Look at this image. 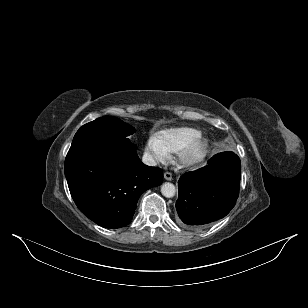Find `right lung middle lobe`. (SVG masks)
<instances>
[{
    "mask_svg": "<svg viewBox=\"0 0 308 308\" xmlns=\"http://www.w3.org/2000/svg\"><path fill=\"white\" fill-rule=\"evenodd\" d=\"M135 129L116 117L104 116L83 125L75 134L71 147L84 143H117L130 145L129 135Z\"/></svg>",
    "mask_w": 308,
    "mask_h": 308,
    "instance_id": "obj_1",
    "label": "right lung middle lobe"
}]
</instances>
